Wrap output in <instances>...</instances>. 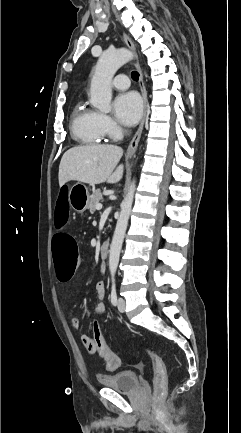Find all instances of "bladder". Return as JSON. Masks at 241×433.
<instances>
[{"instance_id": "1", "label": "bladder", "mask_w": 241, "mask_h": 433, "mask_svg": "<svg viewBox=\"0 0 241 433\" xmlns=\"http://www.w3.org/2000/svg\"><path fill=\"white\" fill-rule=\"evenodd\" d=\"M97 381L102 387L120 392H133L139 386V376L134 371H120L115 374L98 375Z\"/></svg>"}]
</instances>
